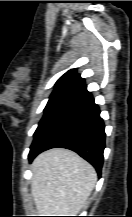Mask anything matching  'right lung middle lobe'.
<instances>
[{
    "mask_svg": "<svg viewBox=\"0 0 132 217\" xmlns=\"http://www.w3.org/2000/svg\"><path fill=\"white\" fill-rule=\"evenodd\" d=\"M76 99L74 95L64 93H52L50 99L44 109V116L41 119L38 128L34 133L33 143L44 132L48 124L55 118V116L64 109L67 105Z\"/></svg>",
    "mask_w": 132,
    "mask_h": 217,
    "instance_id": "dd1d6c3e",
    "label": "right lung middle lobe"
}]
</instances>
